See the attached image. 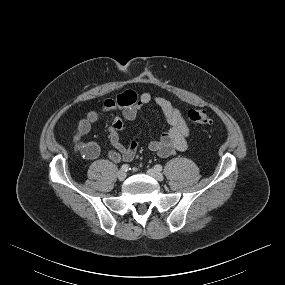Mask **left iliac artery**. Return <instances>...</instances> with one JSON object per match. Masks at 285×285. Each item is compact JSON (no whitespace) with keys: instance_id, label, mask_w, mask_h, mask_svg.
<instances>
[{"instance_id":"left-iliac-artery-1","label":"left iliac artery","mask_w":285,"mask_h":285,"mask_svg":"<svg viewBox=\"0 0 285 285\" xmlns=\"http://www.w3.org/2000/svg\"><path fill=\"white\" fill-rule=\"evenodd\" d=\"M155 169L158 171H162V166L160 164H156Z\"/></svg>"}]
</instances>
